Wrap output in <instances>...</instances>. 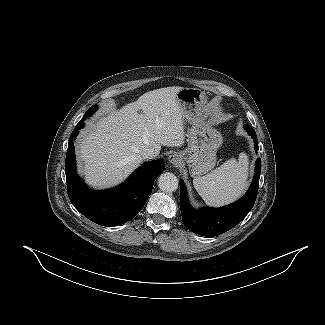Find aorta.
Returning a JSON list of instances; mask_svg holds the SVG:
<instances>
[{
	"label": "aorta",
	"mask_w": 325,
	"mask_h": 325,
	"mask_svg": "<svg viewBox=\"0 0 325 325\" xmlns=\"http://www.w3.org/2000/svg\"><path fill=\"white\" fill-rule=\"evenodd\" d=\"M178 185V179L173 173L165 172L158 178V187L164 192H174Z\"/></svg>",
	"instance_id": "obj_1"
}]
</instances>
